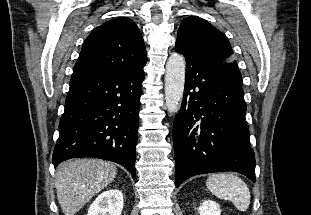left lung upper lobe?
Listing matches in <instances>:
<instances>
[{"instance_id":"5c2ea615","label":"left lung upper lobe","mask_w":311,"mask_h":215,"mask_svg":"<svg viewBox=\"0 0 311 215\" xmlns=\"http://www.w3.org/2000/svg\"><path fill=\"white\" fill-rule=\"evenodd\" d=\"M201 59L238 85H243L237 61L227 37L206 20L190 16L181 22L176 45Z\"/></svg>"}]
</instances>
